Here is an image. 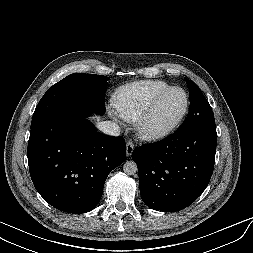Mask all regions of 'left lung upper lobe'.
<instances>
[{"label":"left lung upper lobe","instance_id":"5c2ea615","mask_svg":"<svg viewBox=\"0 0 253 253\" xmlns=\"http://www.w3.org/2000/svg\"><path fill=\"white\" fill-rule=\"evenodd\" d=\"M187 86L189 88L190 110L179 129L189 130L208 123H215L213 111L200 88L192 80H187Z\"/></svg>","mask_w":253,"mask_h":253}]
</instances>
